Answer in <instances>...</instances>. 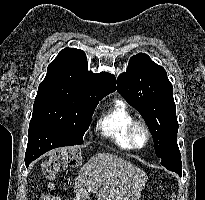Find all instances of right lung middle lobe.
I'll use <instances>...</instances> for the list:
<instances>
[{
  "mask_svg": "<svg viewBox=\"0 0 205 200\" xmlns=\"http://www.w3.org/2000/svg\"><path fill=\"white\" fill-rule=\"evenodd\" d=\"M100 100L64 83L42 82L35 97L32 120L54 126L79 145Z\"/></svg>",
  "mask_w": 205,
  "mask_h": 200,
  "instance_id": "1",
  "label": "right lung middle lobe"
}]
</instances>
